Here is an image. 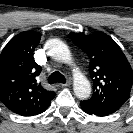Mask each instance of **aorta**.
Here are the masks:
<instances>
[{
    "label": "aorta",
    "instance_id": "1",
    "mask_svg": "<svg viewBox=\"0 0 133 133\" xmlns=\"http://www.w3.org/2000/svg\"><path fill=\"white\" fill-rule=\"evenodd\" d=\"M48 54L57 61L71 63V53L68 46L59 39H50L45 44ZM73 90L77 98L87 99L91 94V85L88 79L80 72L74 75Z\"/></svg>",
    "mask_w": 133,
    "mask_h": 133
}]
</instances>
